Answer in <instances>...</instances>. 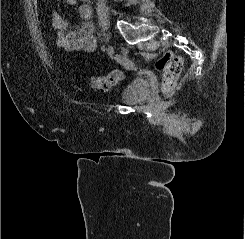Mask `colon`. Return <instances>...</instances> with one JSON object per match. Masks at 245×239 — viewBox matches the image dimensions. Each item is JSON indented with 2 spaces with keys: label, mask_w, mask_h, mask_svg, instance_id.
I'll return each instance as SVG.
<instances>
[{
  "label": "colon",
  "mask_w": 245,
  "mask_h": 239,
  "mask_svg": "<svg viewBox=\"0 0 245 239\" xmlns=\"http://www.w3.org/2000/svg\"><path fill=\"white\" fill-rule=\"evenodd\" d=\"M45 3L51 0H42ZM155 67L162 73V87L165 92L171 91L181 74L183 60L179 55L170 51L164 52L155 62ZM123 72L119 69L110 74L92 77L89 80L90 86L99 91H108L123 79Z\"/></svg>",
  "instance_id": "obj_1"
}]
</instances>
